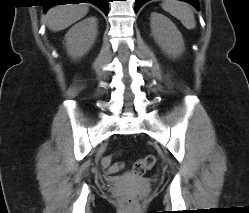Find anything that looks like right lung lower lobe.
<instances>
[{"mask_svg": "<svg viewBox=\"0 0 249 213\" xmlns=\"http://www.w3.org/2000/svg\"><path fill=\"white\" fill-rule=\"evenodd\" d=\"M81 2L93 3L96 6H98L105 13V15H108L109 0H49V3L44 5V9L47 10L49 7L59 4H66V3L79 4Z\"/></svg>", "mask_w": 249, "mask_h": 213, "instance_id": "1", "label": "right lung lower lobe"}]
</instances>
